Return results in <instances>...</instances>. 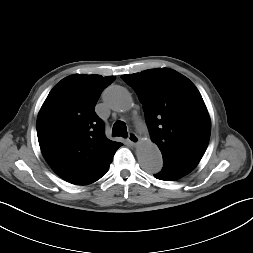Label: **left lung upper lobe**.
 Wrapping results in <instances>:
<instances>
[{
	"mask_svg": "<svg viewBox=\"0 0 253 253\" xmlns=\"http://www.w3.org/2000/svg\"><path fill=\"white\" fill-rule=\"evenodd\" d=\"M143 105L150 138L164 161L197 165L210 138V117L195 85L169 68L122 75Z\"/></svg>",
	"mask_w": 253,
	"mask_h": 253,
	"instance_id": "left-lung-upper-lobe-1",
	"label": "left lung upper lobe"
}]
</instances>
